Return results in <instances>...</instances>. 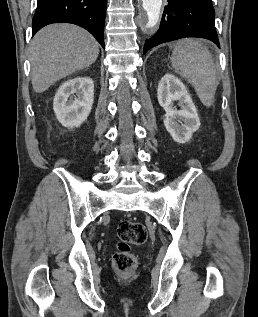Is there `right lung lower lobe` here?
Wrapping results in <instances>:
<instances>
[{"mask_svg":"<svg viewBox=\"0 0 258 317\" xmlns=\"http://www.w3.org/2000/svg\"><path fill=\"white\" fill-rule=\"evenodd\" d=\"M107 0H38L33 35L52 23H72L88 30L104 47Z\"/></svg>","mask_w":258,"mask_h":317,"instance_id":"right-lung-lower-lobe-1","label":"right lung lower lobe"}]
</instances>
